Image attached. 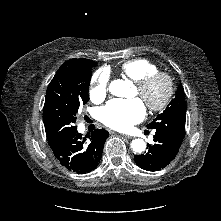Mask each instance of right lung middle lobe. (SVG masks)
I'll list each match as a JSON object with an SVG mask.
<instances>
[{
  "label": "right lung middle lobe",
  "instance_id": "dd1d6c3e",
  "mask_svg": "<svg viewBox=\"0 0 221 221\" xmlns=\"http://www.w3.org/2000/svg\"><path fill=\"white\" fill-rule=\"evenodd\" d=\"M94 61L61 66L50 82L43 108V122L49 145L77 130L74 125L80 105L89 100V85Z\"/></svg>",
  "mask_w": 221,
  "mask_h": 221
}]
</instances>
